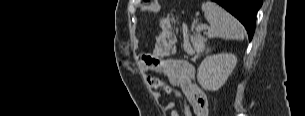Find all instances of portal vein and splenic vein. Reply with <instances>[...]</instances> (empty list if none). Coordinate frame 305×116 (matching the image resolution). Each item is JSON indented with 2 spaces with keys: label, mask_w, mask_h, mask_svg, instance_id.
Returning <instances> with one entry per match:
<instances>
[{
  "label": "portal vein and splenic vein",
  "mask_w": 305,
  "mask_h": 116,
  "mask_svg": "<svg viewBox=\"0 0 305 116\" xmlns=\"http://www.w3.org/2000/svg\"><path fill=\"white\" fill-rule=\"evenodd\" d=\"M209 27H208V25L207 24H201V25H199L198 27H197V30H206V29H208Z\"/></svg>",
  "instance_id": "portal-vein-and-splenic-vein-1"
}]
</instances>
